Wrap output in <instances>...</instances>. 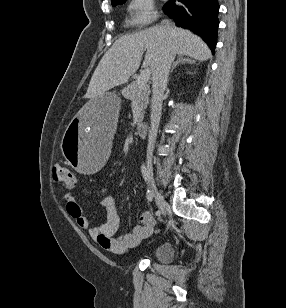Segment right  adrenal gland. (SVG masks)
I'll return each mask as SVG.
<instances>
[{"mask_svg":"<svg viewBox=\"0 0 286 308\" xmlns=\"http://www.w3.org/2000/svg\"><path fill=\"white\" fill-rule=\"evenodd\" d=\"M185 63H188V64H194L195 61L188 57V56H184V55H180L179 58L177 59L176 62L173 63L171 69H170V73L173 72V70L175 69V67L179 64H185Z\"/></svg>","mask_w":286,"mask_h":308,"instance_id":"1","label":"right adrenal gland"}]
</instances>
